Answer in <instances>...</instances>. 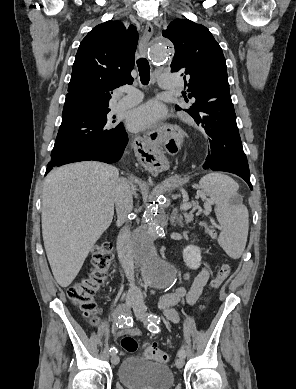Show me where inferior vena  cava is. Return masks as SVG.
Instances as JSON below:
<instances>
[{
	"instance_id": "602c4592",
	"label": "inferior vena cava",
	"mask_w": 296,
	"mask_h": 389,
	"mask_svg": "<svg viewBox=\"0 0 296 389\" xmlns=\"http://www.w3.org/2000/svg\"><path fill=\"white\" fill-rule=\"evenodd\" d=\"M133 187L124 178L118 179L115 189V206L119 221L128 222V215L133 210ZM131 233L129 226L121 229L118 235L119 258L129 281L127 298L141 300V292L134 282V264L130 251Z\"/></svg>"
}]
</instances>
